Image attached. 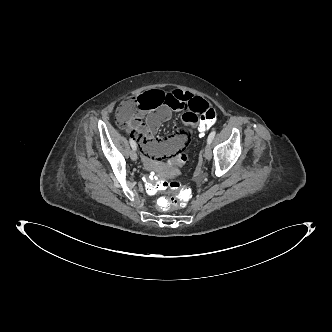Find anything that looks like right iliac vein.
I'll use <instances>...</instances> for the list:
<instances>
[{
	"mask_svg": "<svg viewBox=\"0 0 332 332\" xmlns=\"http://www.w3.org/2000/svg\"><path fill=\"white\" fill-rule=\"evenodd\" d=\"M130 157L133 161H136L137 160V153L135 150H132L131 153H130Z\"/></svg>",
	"mask_w": 332,
	"mask_h": 332,
	"instance_id": "63e3f726",
	"label": "right iliac vein"
}]
</instances>
